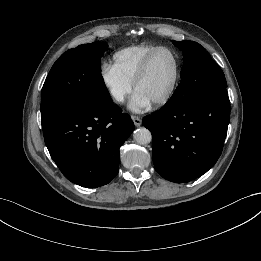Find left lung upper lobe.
Listing matches in <instances>:
<instances>
[{"instance_id": "1", "label": "left lung upper lobe", "mask_w": 261, "mask_h": 261, "mask_svg": "<svg viewBox=\"0 0 261 261\" xmlns=\"http://www.w3.org/2000/svg\"><path fill=\"white\" fill-rule=\"evenodd\" d=\"M172 43L182 49L184 61L182 81L169 99V103L184 105L198 95L226 88L224 73L200 44L194 41Z\"/></svg>"}]
</instances>
